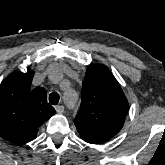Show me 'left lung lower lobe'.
<instances>
[{
    "label": "left lung lower lobe",
    "mask_w": 165,
    "mask_h": 165,
    "mask_svg": "<svg viewBox=\"0 0 165 165\" xmlns=\"http://www.w3.org/2000/svg\"><path fill=\"white\" fill-rule=\"evenodd\" d=\"M81 138H82L84 141L88 142V143L96 144L95 142H93V141H91V140H89V139H87V138H85V137H82V136H81Z\"/></svg>",
    "instance_id": "obj_1"
}]
</instances>
